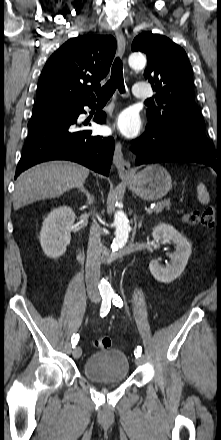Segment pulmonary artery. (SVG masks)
<instances>
[{
	"instance_id": "pulmonary-artery-1",
	"label": "pulmonary artery",
	"mask_w": 221,
	"mask_h": 440,
	"mask_svg": "<svg viewBox=\"0 0 221 440\" xmlns=\"http://www.w3.org/2000/svg\"><path fill=\"white\" fill-rule=\"evenodd\" d=\"M133 93L141 99H148L152 96V90L143 83H136L133 86Z\"/></svg>"
}]
</instances>
